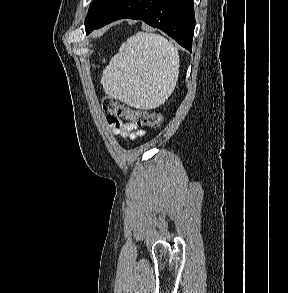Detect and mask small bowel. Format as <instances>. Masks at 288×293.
I'll return each mask as SVG.
<instances>
[{
    "instance_id": "c3829d8e",
    "label": "small bowel",
    "mask_w": 288,
    "mask_h": 293,
    "mask_svg": "<svg viewBox=\"0 0 288 293\" xmlns=\"http://www.w3.org/2000/svg\"><path fill=\"white\" fill-rule=\"evenodd\" d=\"M107 123L110 129L122 138L135 139L145 134V132L139 130L135 124L131 122H122L120 119L114 118L111 115L107 116Z\"/></svg>"
}]
</instances>
